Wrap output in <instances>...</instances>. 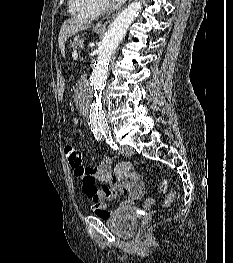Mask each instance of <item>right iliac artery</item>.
Returning <instances> with one entry per match:
<instances>
[{"mask_svg":"<svg viewBox=\"0 0 233 263\" xmlns=\"http://www.w3.org/2000/svg\"><path fill=\"white\" fill-rule=\"evenodd\" d=\"M102 136H103V132H102V133H100V132L95 133V138H96V140H98V141H101V140H102Z\"/></svg>","mask_w":233,"mask_h":263,"instance_id":"1","label":"right iliac artery"}]
</instances>
